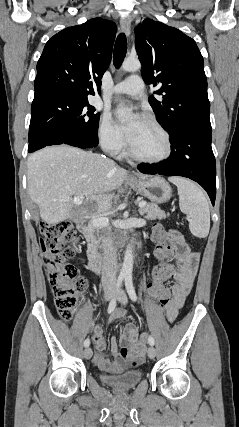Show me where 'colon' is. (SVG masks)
Returning <instances> with one entry per match:
<instances>
[{"label":"colon","mask_w":239,"mask_h":427,"mask_svg":"<svg viewBox=\"0 0 239 427\" xmlns=\"http://www.w3.org/2000/svg\"><path fill=\"white\" fill-rule=\"evenodd\" d=\"M149 232L150 242L154 244V262L151 265L152 280L147 282L146 301L161 305L167 303L171 295L169 285L171 281L173 260L169 254L170 235H167L163 222H154ZM41 234L40 246L42 259L46 268L47 277L54 295L55 305L60 317L69 321L74 313L79 297L87 286V280L80 275L70 260L76 255L78 235L69 222L39 223ZM165 298V299H163ZM146 335L136 344L122 349V355L132 364L144 360Z\"/></svg>","instance_id":"colon-1"}]
</instances>
